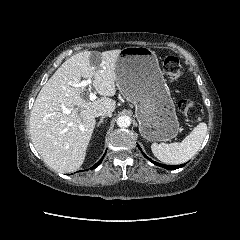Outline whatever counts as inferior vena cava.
Segmentation results:
<instances>
[{"label": "inferior vena cava", "instance_id": "1", "mask_svg": "<svg viewBox=\"0 0 240 240\" xmlns=\"http://www.w3.org/2000/svg\"><path fill=\"white\" fill-rule=\"evenodd\" d=\"M111 115H112V113L110 111H99L95 114L96 117H98V116H109L110 117Z\"/></svg>", "mask_w": 240, "mask_h": 240}]
</instances>
